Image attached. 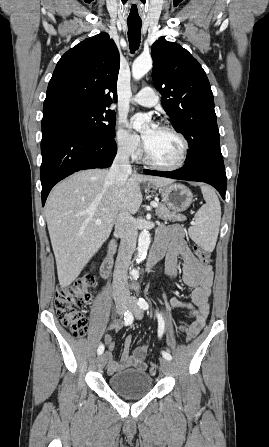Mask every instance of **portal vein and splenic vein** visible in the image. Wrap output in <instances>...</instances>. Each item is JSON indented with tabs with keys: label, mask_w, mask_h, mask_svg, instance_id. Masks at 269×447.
I'll return each instance as SVG.
<instances>
[{
	"label": "portal vein and splenic vein",
	"mask_w": 269,
	"mask_h": 447,
	"mask_svg": "<svg viewBox=\"0 0 269 447\" xmlns=\"http://www.w3.org/2000/svg\"><path fill=\"white\" fill-rule=\"evenodd\" d=\"M151 206H154V208H157L158 204H157V202H151ZM95 224H101V220H95Z\"/></svg>",
	"instance_id": "18ae733b"
}]
</instances>
